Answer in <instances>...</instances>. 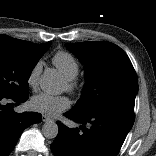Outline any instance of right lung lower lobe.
Listing matches in <instances>:
<instances>
[{"instance_id":"98d812e1","label":"right lung lower lobe","mask_w":156,"mask_h":156,"mask_svg":"<svg viewBox=\"0 0 156 156\" xmlns=\"http://www.w3.org/2000/svg\"><path fill=\"white\" fill-rule=\"evenodd\" d=\"M28 96L10 97L0 93V156H8L16 145L21 133L30 125L41 122L42 116L36 112L15 113L14 105H19ZM8 100L10 104L4 105Z\"/></svg>"}]
</instances>
